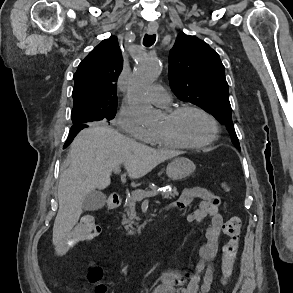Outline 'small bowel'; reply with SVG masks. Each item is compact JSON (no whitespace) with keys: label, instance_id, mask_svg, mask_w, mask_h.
<instances>
[{"label":"small bowel","instance_id":"c3829d8e","mask_svg":"<svg viewBox=\"0 0 293 293\" xmlns=\"http://www.w3.org/2000/svg\"><path fill=\"white\" fill-rule=\"evenodd\" d=\"M195 198L201 201L196 208L189 212L188 221L198 224L205 218L210 219L205 231V242L199 251V260L194 267L184 271L167 270L162 272L159 276V284L152 293H209L212 288L214 268L210 264L217 255L218 238L225 221L219 210L220 198L201 187L184 189L172 209L184 211L190 207Z\"/></svg>","mask_w":293,"mask_h":293}]
</instances>
